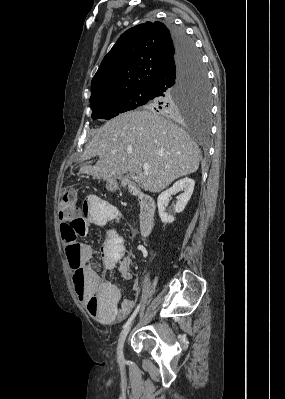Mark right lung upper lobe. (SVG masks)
<instances>
[{"instance_id": "right-lung-upper-lobe-1", "label": "right lung upper lobe", "mask_w": 285, "mask_h": 399, "mask_svg": "<svg viewBox=\"0 0 285 399\" xmlns=\"http://www.w3.org/2000/svg\"><path fill=\"white\" fill-rule=\"evenodd\" d=\"M176 54L170 30L145 22L125 31L104 57L92 79L90 100L113 93L150 88Z\"/></svg>"}]
</instances>
